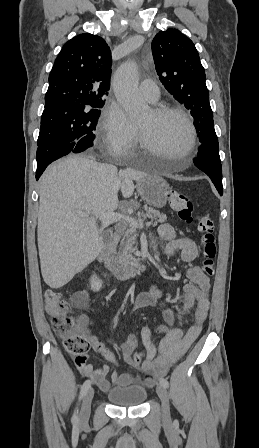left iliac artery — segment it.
<instances>
[{"instance_id":"44dca946","label":"left iliac artery","mask_w":259,"mask_h":448,"mask_svg":"<svg viewBox=\"0 0 259 448\" xmlns=\"http://www.w3.org/2000/svg\"><path fill=\"white\" fill-rule=\"evenodd\" d=\"M159 382H160V384H161L162 386H164L165 388H168V387H169V382H168L166 379H164V378H160ZM176 422H177V421H176Z\"/></svg>"}]
</instances>
